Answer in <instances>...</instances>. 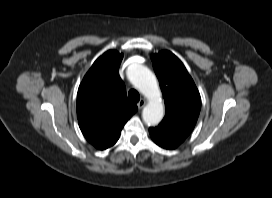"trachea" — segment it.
<instances>
[{
    "instance_id": "1",
    "label": "trachea",
    "mask_w": 272,
    "mask_h": 198,
    "mask_svg": "<svg viewBox=\"0 0 272 198\" xmlns=\"http://www.w3.org/2000/svg\"><path fill=\"white\" fill-rule=\"evenodd\" d=\"M130 101L137 103L140 100V95L135 89H131L128 93Z\"/></svg>"
}]
</instances>
